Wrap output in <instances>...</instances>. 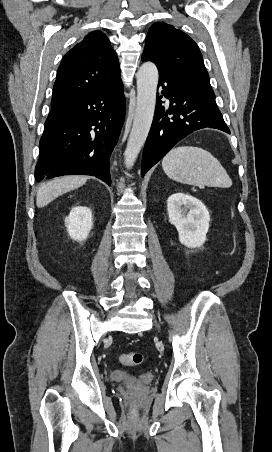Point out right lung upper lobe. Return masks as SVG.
Returning a JSON list of instances; mask_svg holds the SVG:
<instances>
[{
	"label": "right lung upper lobe",
	"instance_id": "1",
	"mask_svg": "<svg viewBox=\"0 0 272 452\" xmlns=\"http://www.w3.org/2000/svg\"><path fill=\"white\" fill-rule=\"evenodd\" d=\"M121 79L119 62L108 38L90 32L64 56L53 87L51 110L105 89Z\"/></svg>",
	"mask_w": 272,
	"mask_h": 452
}]
</instances>
